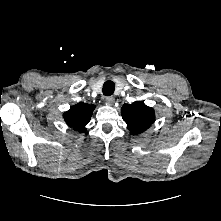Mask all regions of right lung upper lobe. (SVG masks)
Instances as JSON below:
<instances>
[{
  "label": "right lung upper lobe",
  "mask_w": 221,
  "mask_h": 221,
  "mask_svg": "<svg viewBox=\"0 0 221 221\" xmlns=\"http://www.w3.org/2000/svg\"><path fill=\"white\" fill-rule=\"evenodd\" d=\"M95 106L80 102L65 112L64 120L74 130L84 132L85 126L90 121Z\"/></svg>",
  "instance_id": "obj_1"
}]
</instances>
